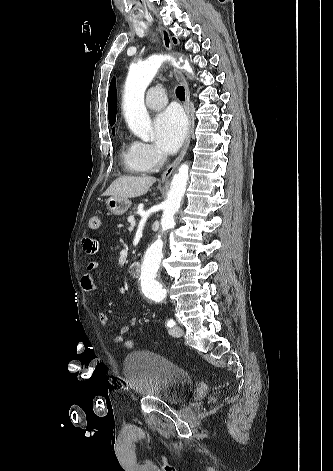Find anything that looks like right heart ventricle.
<instances>
[{"instance_id": "e07e8e85", "label": "right heart ventricle", "mask_w": 333, "mask_h": 471, "mask_svg": "<svg viewBox=\"0 0 333 471\" xmlns=\"http://www.w3.org/2000/svg\"><path fill=\"white\" fill-rule=\"evenodd\" d=\"M122 155L124 163L129 171L138 174L148 172V170L144 168L134 157L131 144H123Z\"/></svg>"}]
</instances>
